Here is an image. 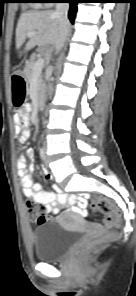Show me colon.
<instances>
[{
    "label": "colon",
    "mask_w": 136,
    "mask_h": 296,
    "mask_svg": "<svg viewBox=\"0 0 136 296\" xmlns=\"http://www.w3.org/2000/svg\"><path fill=\"white\" fill-rule=\"evenodd\" d=\"M17 74V72L15 73ZM92 208L105 215V224L107 226H119L121 224L122 214L115 204L108 198L98 196L91 198ZM26 212L39 224L47 222V216L43 213V206L33 200L25 203ZM102 237L98 235H89L78 248L81 254L90 253L101 241Z\"/></svg>",
    "instance_id": "obj_1"
}]
</instances>
